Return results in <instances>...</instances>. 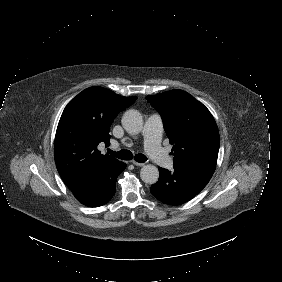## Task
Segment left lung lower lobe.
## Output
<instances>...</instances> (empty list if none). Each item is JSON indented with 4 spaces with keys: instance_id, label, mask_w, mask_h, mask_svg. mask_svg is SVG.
I'll use <instances>...</instances> for the list:
<instances>
[{
    "instance_id": "0a47b994",
    "label": "left lung lower lobe",
    "mask_w": 282,
    "mask_h": 282,
    "mask_svg": "<svg viewBox=\"0 0 282 282\" xmlns=\"http://www.w3.org/2000/svg\"><path fill=\"white\" fill-rule=\"evenodd\" d=\"M159 169L158 182L151 186V193L169 205L183 204L195 197L209 182L215 166L186 164L174 166L173 171Z\"/></svg>"
}]
</instances>
